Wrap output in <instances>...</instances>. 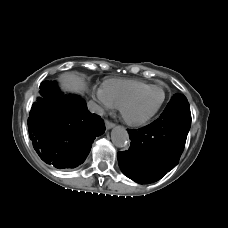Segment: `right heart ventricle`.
Wrapping results in <instances>:
<instances>
[{
	"instance_id": "obj_1",
	"label": "right heart ventricle",
	"mask_w": 228,
	"mask_h": 228,
	"mask_svg": "<svg viewBox=\"0 0 228 228\" xmlns=\"http://www.w3.org/2000/svg\"><path fill=\"white\" fill-rule=\"evenodd\" d=\"M148 86L140 80L108 79L102 84V92L113 106L119 107L126 97Z\"/></svg>"
}]
</instances>
